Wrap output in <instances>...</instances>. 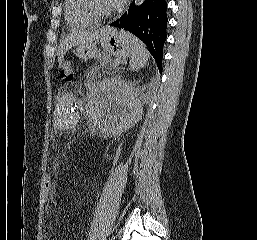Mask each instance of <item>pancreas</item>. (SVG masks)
Segmentation results:
<instances>
[{
	"label": "pancreas",
	"instance_id": "cf45deb5",
	"mask_svg": "<svg viewBox=\"0 0 257 240\" xmlns=\"http://www.w3.org/2000/svg\"><path fill=\"white\" fill-rule=\"evenodd\" d=\"M98 61L100 64V67H102L103 69H116V64L112 61L111 57L109 55L106 54H100L98 56Z\"/></svg>",
	"mask_w": 257,
	"mask_h": 240
}]
</instances>
